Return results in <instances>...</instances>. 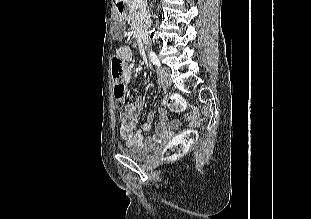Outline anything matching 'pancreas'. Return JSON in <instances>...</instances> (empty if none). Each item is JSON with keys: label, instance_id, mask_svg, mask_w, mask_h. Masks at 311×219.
I'll use <instances>...</instances> for the list:
<instances>
[{"label": "pancreas", "instance_id": "1", "mask_svg": "<svg viewBox=\"0 0 311 219\" xmlns=\"http://www.w3.org/2000/svg\"><path fill=\"white\" fill-rule=\"evenodd\" d=\"M144 6L142 3H137L135 0H129V14L128 17L131 20V29L136 30L142 28Z\"/></svg>", "mask_w": 311, "mask_h": 219}]
</instances>
